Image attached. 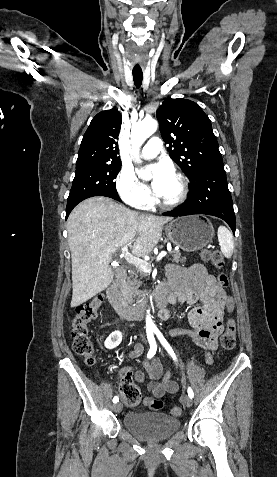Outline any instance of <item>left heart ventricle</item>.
Here are the masks:
<instances>
[{"instance_id":"1","label":"left heart ventricle","mask_w":277,"mask_h":477,"mask_svg":"<svg viewBox=\"0 0 277 477\" xmlns=\"http://www.w3.org/2000/svg\"><path fill=\"white\" fill-rule=\"evenodd\" d=\"M180 193V184L176 177L169 183L165 193L160 197L163 201H172L178 197Z\"/></svg>"}]
</instances>
